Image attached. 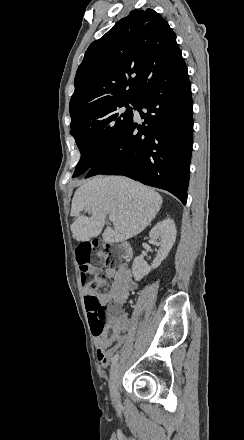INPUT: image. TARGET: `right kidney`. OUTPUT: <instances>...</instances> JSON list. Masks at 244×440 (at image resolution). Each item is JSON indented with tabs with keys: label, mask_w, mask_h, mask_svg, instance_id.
I'll return each instance as SVG.
<instances>
[{
	"label": "right kidney",
	"mask_w": 244,
	"mask_h": 440,
	"mask_svg": "<svg viewBox=\"0 0 244 440\" xmlns=\"http://www.w3.org/2000/svg\"><path fill=\"white\" fill-rule=\"evenodd\" d=\"M149 236L151 240L161 238L160 242L157 244L160 248L151 266L146 264L145 260H143V256H137V258H135L132 266V274L136 282H140V280H142L144 276H147L153 268H158L161 262L167 258L170 250H172L176 240V226L173 220H171V218H166V220L158 222V224L152 228L151 232H149Z\"/></svg>",
	"instance_id": "1"
}]
</instances>
